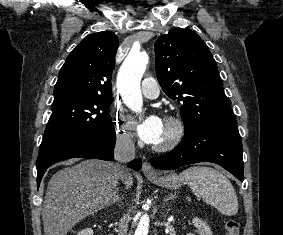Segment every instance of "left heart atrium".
<instances>
[{"mask_svg": "<svg viewBox=\"0 0 283 235\" xmlns=\"http://www.w3.org/2000/svg\"><path fill=\"white\" fill-rule=\"evenodd\" d=\"M164 130V122L156 115H151L142 120L138 125L140 138L148 144H156Z\"/></svg>", "mask_w": 283, "mask_h": 235, "instance_id": "39dd6f15", "label": "left heart atrium"}]
</instances>
